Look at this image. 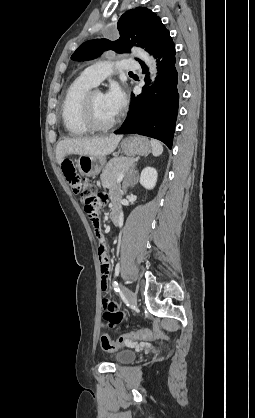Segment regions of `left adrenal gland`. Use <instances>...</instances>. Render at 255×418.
Returning a JSON list of instances; mask_svg holds the SVG:
<instances>
[{
  "label": "left adrenal gland",
  "mask_w": 255,
  "mask_h": 418,
  "mask_svg": "<svg viewBox=\"0 0 255 418\" xmlns=\"http://www.w3.org/2000/svg\"><path fill=\"white\" fill-rule=\"evenodd\" d=\"M136 165H137V161L132 165V167L130 168V170H129V173L130 174H137V171L135 170V167H136ZM134 185H135V183H133V184H129V182L127 181V179L124 181V183H123V190H124V192L126 193L127 192V188L130 186V187H134Z\"/></svg>",
  "instance_id": "a2214340"
}]
</instances>
